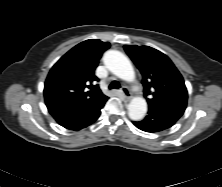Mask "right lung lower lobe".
Masks as SVG:
<instances>
[{
	"mask_svg": "<svg viewBox=\"0 0 222 187\" xmlns=\"http://www.w3.org/2000/svg\"><path fill=\"white\" fill-rule=\"evenodd\" d=\"M105 102L88 108H75L52 102L46 103V106L58 124L64 128L78 131L98 119Z\"/></svg>",
	"mask_w": 222,
	"mask_h": 187,
	"instance_id": "1",
	"label": "right lung lower lobe"
}]
</instances>
